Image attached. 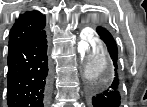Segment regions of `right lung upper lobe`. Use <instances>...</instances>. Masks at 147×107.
Returning <instances> with one entry per match:
<instances>
[{
    "label": "right lung upper lobe",
    "instance_id": "1",
    "mask_svg": "<svg viewBox=\"0 0 147 107\" xmlns=\"http://www.w3.org/2000/svg\"><path fill=\"white\" fill-rule=\"evenodd\" d=\"M46 25V19L38 11H26L16 19L10 34L9 48L14 47L39 31L43 30Z\"/></svg>",
    "mask_w": 147,
    "mask_h": 107
}]
</instances>
